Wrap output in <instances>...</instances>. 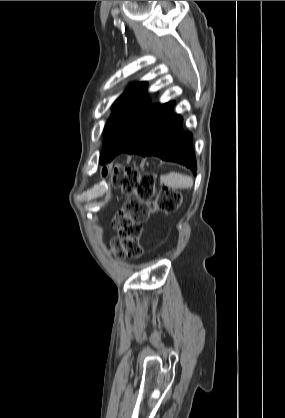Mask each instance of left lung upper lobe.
Wrapping results in <instances>:
<instances>
[{
    "label": "left lung upper lobe",
    "mask_w": 285,
    "mask_h": 418,
    "mask_svg": "<svg viewBox=\"0 0 285 418\" xmlns=\"http://www.w3.org/2000/svg\"><path fill=\"white\" fill-rule=\"evenodd\" d=\"M146 83L129 87L115 102L114 111L104 128L103 151L99 162L106 163L123 152L142 126L160 106L150 105L145 97Z\"/></svg>",
    "instance_id": "1"
}]
</instances>
